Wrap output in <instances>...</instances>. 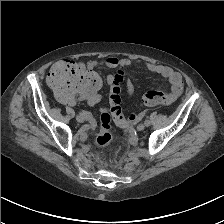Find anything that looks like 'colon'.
Wrapping results in <instances>:
<instances>
[{
  "label": "colon",
  "mask_w": 224,
  "mask_h": 224,
  "mask_svg": "<svg viewBox=\"0 0 224 224\" xmlns=\"http://www.w3.org/2000/svg\"><path fill=\"white\" fill-rule=\"evenodd\" d=\"M123 74V71H118L112 79L109 95L110 109L100 116V128L94 138L96 146L104 147L110 143L112 120L123 128L129 127L134 122L131 115L125 118L122 113L121 83ZM47 80L58 100L70 106L80 100L93 99L101 87V78L97 73L70 60H61L54 64L47 75ZM143 103L148 106L169 104V93L148 91L143 97Z\"/></svg>",
  "instance_id": "obj_1"
}]
</instances>
